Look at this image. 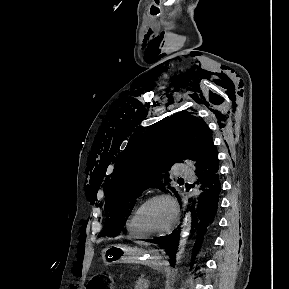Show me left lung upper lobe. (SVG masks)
Wrapping results in <instances>:
<instances>
[{
	"mask_svg": "<svg viewBox=\"0 0 289 289\" xmlns=\"http://www.w3.org/2000/svg\"><path fill=\"white\" fill-rule=\"evenodd\" d=\"M139 133L130 139L107 183L106 221L99 237L120 234L143 190L155 186L175 192L168 175L174 163L190 158L199 168L216 148L209 127L193 112L166 117Z\"/></svg>",
	"mask_w": 289,
	"mask_h": 289,
	"instance_id": "obj_1",
	"label": "left lung upper lobe"
}]
</instances>
